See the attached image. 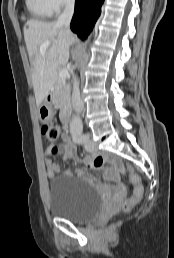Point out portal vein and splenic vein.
Returning a JSON list of instances; mask_svg holds the SVG:
<instances>
[{
  "label": "portal vein and splenic vein",
  "instance_id": "1",
  "mask_svg": "<svg viewBox=\"0 0 174 258\" xmlns=\"http://www.w3.org/2000/svg\"><path fill=\"white\" fill-rule=\"evenodd\" d=\"M50 42L49 41H45L41 46H40V53L41 54H45L46 50L48 49V47L50 46ZM59 77L61 79H65L68 76V71L67 69H62L59 71Z\"/></svg>",
  "mask_w": 174,
  "mask_h": 258
}]
</instances>
